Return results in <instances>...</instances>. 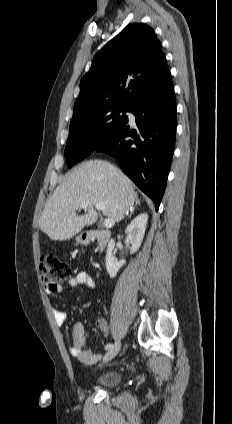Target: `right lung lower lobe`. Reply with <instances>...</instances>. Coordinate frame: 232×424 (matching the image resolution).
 I'll use <instances>...</instances> for the list:
<instances>
[{"instance_id": "98d812e1", "label": "right lung lower lobe", "mask_w": 232, "mask_h": 424, "mask_svg": "<svg viewBox=\"0 0 232 424\" xmlns=\"http://www.w3.org/2000/svg\"><path fill=\"white\" fill-rule=\"evenodd\" d=\"M138 131L127 123L95 151L117 159L123 172L159 208L166 187L176 137V101L171 74L130 108ZM131 137V139H127Z\"/></svg>"}]
</instances>
